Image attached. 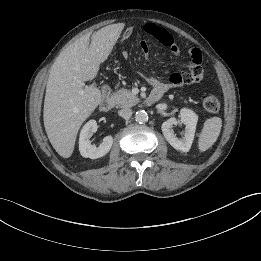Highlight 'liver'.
Instances as JSON below:
<instances>
[{
	"label": "liver",
	"mask_w": 261,
	"mask_h": 261,
	"mask_svg": "<svg viewBox=\"0 0 261 261\" xmlns=\"http://www.w3.org/2000/svg\"><path fill=\"white\" fill-rule=\"evenodd\" d=\"M123 24L101 28L91 37L77 39L63 50L50 69L44 99L43 120L48 139L63 158L74 150L83 122L102 101L101 91L84 82L94 79L111 53Z\"/></svg>",
	"instance_id": "6515ba94"
}]
</instances>
